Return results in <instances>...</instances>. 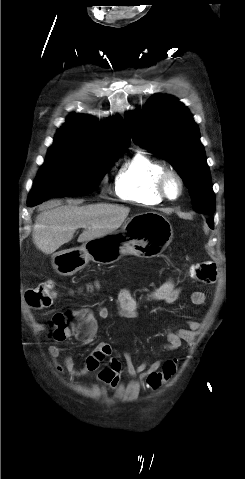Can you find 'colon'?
<instances>
[{
  "label": "colon",
  "instance_id": "colon-1",
  "mask_svg": "<svg viewBox=\"0 0 245 479\" xmlns=\"http://www.w3.org/2000/svg\"><path fill=\"white\" fill-rule=\"evenodd\" d=\"M194 276L204 283H212L216 279V265L213 262L205 261L194 265ZM56 298L54 282L52 280L45 281L25 293L26 303L31 308H42L50 305ZM83 318L75 312H62L55 314L52 318L53 338L55 340H66L75 333L74 326H81ZM178 359L165 361L162 369L148 376L146 383L148 388L156 390L163 384L168 382L178 369Z\"/></svg>",
  "mask_w": 245,
  "mask_h": 479
}]
</instances>
